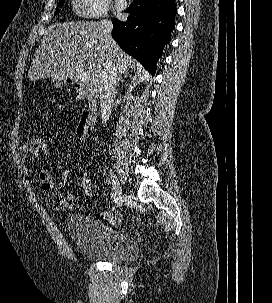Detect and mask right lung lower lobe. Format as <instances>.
<instances>
[{
    "label": "right lung lower lobe",
    "mask_w": 272,
    "mask_h": 303,
    "mask_svg": "<svg viewBox=\"0 0 272 303\" xmlns=\"http://www.w3.org/2000/svg\"><path fill=\"white\" fill-rule=\"evenodd\" d=\"M127 21L113 20L112 36L119 46L151 73L170 42L177 12L175 0H134Z\"/></svg>",
    "instance_id": "right-lung-lower-lobe-1"
}]
</instances>
